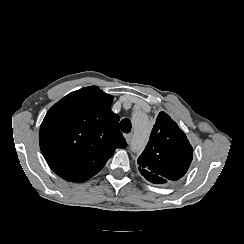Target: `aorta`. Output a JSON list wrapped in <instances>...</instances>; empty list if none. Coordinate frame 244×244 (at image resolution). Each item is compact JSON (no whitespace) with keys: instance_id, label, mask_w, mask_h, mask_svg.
<instances>
[{"instance_id":"762f6f07","label":"aorta","mask_w":244,"mask_h":244,"mask_svg":"<svg viewBox=\"0 0 244 244\" xmlns=\"http://www.w3.org/2000/svg\"><path fill=\"white\" fill-rule=\"evenodd\" d=\"M134 137L131 142V149L139 151L144 148L148 141L150 133V125L148 117L143 112H136L133 114Z\"/></svg>"}]
</instances>
